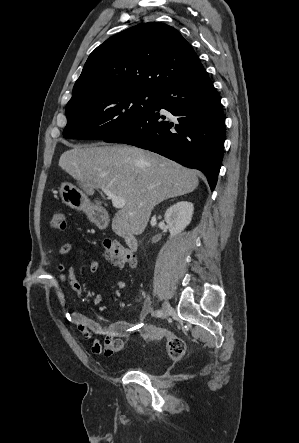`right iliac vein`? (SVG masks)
Returning a JSON list of instances; mask_svg holds the SVG:
<instances>
[{"label":"right iliac vein","instance_id":"right-iliac-vein-1","mask_svg":"<svg viewBox=\"0 0 299 443\" xmlns=\"http://www.w3.org/2000/svg\"><path fill=\"white\" fill-rule=\"evenodd\" d=\"M172 311V308L168 302H165L162 307V317L166 318Z\"/></svg>","mask_w":299,"mask_h":443}]
</instances>
